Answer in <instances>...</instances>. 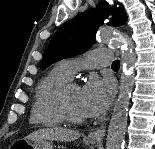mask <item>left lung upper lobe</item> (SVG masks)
I'll return each instance as SVG.
<instances>
[{
  "mask_svg": "<svg viewBox=\"0 0 155 149\" xmlns=\"http://www.w3.org/2000/svg\"><path fill=\"white\" fill-rule=\"evenodd\" d=\"M114 10L109 25L116 27L126 22L127 16L121 4L117 7L115 3ZM110 13L111 7L108 3L100 2L96 9H89L61 25L49 43L40 68L45 69L59 60L86 51L94 44L99 26Z\"/></svg>",
  "mask_w": 155,
  "mask_h": 149,
  "instance_id": "left-lung-upper-lobe-1",
  "label": "left lung upper lobe"
}]
</instances>
